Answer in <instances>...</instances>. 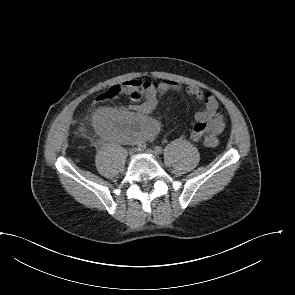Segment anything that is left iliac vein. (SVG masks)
Segmentation results:
<instances>
[{
    "instance_id": "left-iliac-vein-1",
    "label": "left iliac vein",
    "mask_w": 295,
    "mask_h": 295,
    "mask_svg": "<svg viewBox=\"0 0 295 295\" xmlns=\"http://www.w3.org/2000/svg\"><path fill=\"white\" fill-rule=\"evenodd\" d=\"M145 153L146 154H149V155H156L155 151L153 149H151V148H147L145 150Z\"/></svg>"
}]
</instances>
